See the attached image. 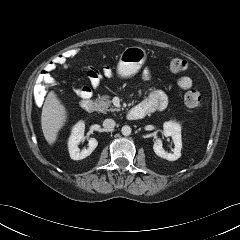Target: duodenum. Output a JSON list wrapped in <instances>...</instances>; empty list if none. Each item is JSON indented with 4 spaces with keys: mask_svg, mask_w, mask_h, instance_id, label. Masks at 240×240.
<instances>
[{
    "mask_svg": "<svg viewBox=\"0 0 240 240\" xmlns=\"http://www.w3.org/2000/svg\"><path fill=\"white\" fill-rule=\"evenodd\" d=\"M80 107L84 112L90 113L93 111L95 104L92 99L84 98L80 102ZM144 117H145V112L138 107H134V108L130 109L127 113V118L130 120H139Z\"/></svg>",
    "mask_w": 240,
    "mask_h": 240,
    "instance_id": "obj_1",
    "label": "duodenum"
}]
</instances>
